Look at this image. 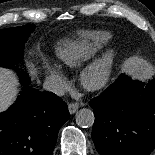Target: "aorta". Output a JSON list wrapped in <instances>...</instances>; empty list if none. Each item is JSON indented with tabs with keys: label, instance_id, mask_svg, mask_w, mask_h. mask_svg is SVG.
<instances>
[{
	"label": "aorta",
	"instance_id": "aorta-1",
	"mask_svg": "<svg viewBox=\"0 0 155 155\" xmlns=\"http://www.w3.org/2000/svg\"><path fill=\"white\" fill-rule=\"evenodd\" d=\"M94 121L95 116L91 109L83 108L76 113V123L82 128L92 127Z\"/></svg>",
	"mask_w": 155,
	"mask_h": 155
}]
</instances>
